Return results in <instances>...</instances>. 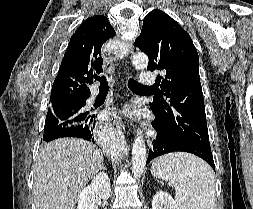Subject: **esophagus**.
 Returning a JSON list of instances; mask_svg holds the SVG:
<instances>
[{"mask_svg": "<svg viewBox=\"0 0 253 209\" xmlns=\"http://www.w3.org/2000/svg\"><path fill=\"white\" fill-rule=\"evenodd\" d=\"M127 77H128V74H127ZM106 125H107L110 129L119 130V128H120L119 121H118V119H117L116 117L110 118V119L106 122Z\"/></svg>", "mask_w": 253, "mask_h": 209, "instance_id": "1", "label": "esophagus"}]
</instances>
